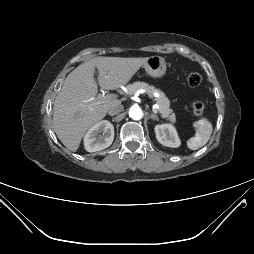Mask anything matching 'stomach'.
Instances as JSON below:
<instances>
[{
	"label": "stomach",
	"mask_w": 254,
	"mask_h": 254,
	"mask_svg": "<svg viewBox=\"0 0 254 254\" xmlns=\"http://www.w3.org/2000/svg\"><path fill=\"white\" fill-rule=\"evenodd\" d=\"M143 68L149 76L160 78L166 73V62L161 56H151L143 64Z\"/></svg>",
	"instance_id": "stomach-1"
}]
</instances>
